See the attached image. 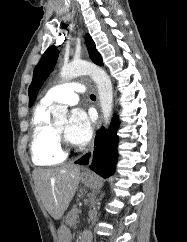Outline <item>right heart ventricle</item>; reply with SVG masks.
Masks as SVG:
<instances>
[{"mask_svg":"<svg viewBox=\"0 0 187 242\" xmlns=\"http://www.w3.org/2000/svg\"><path fill=\"white\" fill-rule=\"evenodd\" d=\"M30 151L33 162L39 166L57 165L66 158L53 132L50 105L42 101L35 108L31 120Z\"/></svg>","mask_w":187,"mask_h":242,"instance_id":"e07e8e85","label":"right heart ventricle"}]
</instances>
